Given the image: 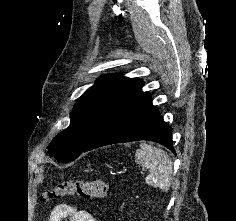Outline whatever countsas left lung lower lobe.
Returning <instances> with one entry per match:
<instances>
[{"instance_id": "obj_1", "label": "left lung lower lobe", "mask_w": 236, "mask_h": 221, "mask_svg": "<svg viewBox=\"0 0 236 221\" xmlns=\"http://www.w3.org/2000/svg\"><path fill=\"white\" fill-rule=\"evenodd\" d=\"M138 140L158 142L175 154L172 128L164 123L156 107L152 105L149 93L142 92L141 87L105 119L82 152L104 145Z\"/></svg>"}]
</instances>
